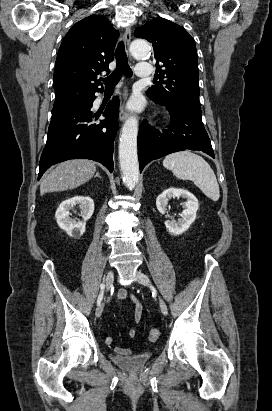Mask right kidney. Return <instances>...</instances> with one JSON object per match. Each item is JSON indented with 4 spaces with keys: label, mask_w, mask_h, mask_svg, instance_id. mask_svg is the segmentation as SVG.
<instances>
[{
    "label": "right kidney",
    "mask_w": 272,
    "mask_h": 411,
    "mask_svg": "<svg viewBox=\"0 0 272 411\" xmlns=\"http://www.w3.org/2000/svg\"><path fill=\"white\" fill-rule=\"evenodd\" d=\"M81 210L83 220H75L70 217L69 210L74 206ZM94 212V202L89 196H75L64 200L55 213L58 226L70 237L79 239L85 232V222L91 218Z\"/></svg>",
    "instance_id": "right-kidney-1"
}]
</instances>
